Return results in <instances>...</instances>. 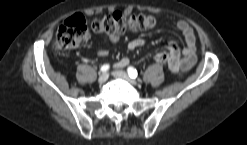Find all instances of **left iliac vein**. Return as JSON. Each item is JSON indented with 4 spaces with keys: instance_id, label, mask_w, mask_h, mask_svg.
I'll return each mask as SVG.
<instances>
[{
    "instance_id": "1",
    "label": "left iliac vein",
    "mask_w": 247,
    "mask_h": 145,
    "mask_svg": "<svg viewBox=\"0 0 247 145\" xmlns=\"http://www.w3.org/2000/svg\"><path fill=\"white\" fill-rule=\"evenodd\" d=\"M113 76L117 77V78H121L127 82H129L131 85H137V82L135 80H133L132 78L129 77V75L124 72V71H114Z\"/></svg>"
}]
</instances>
